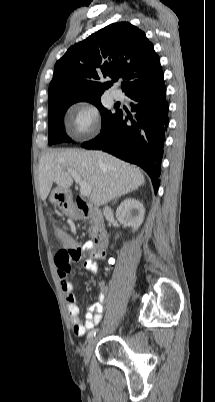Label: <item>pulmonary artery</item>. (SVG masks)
<instances>
[{"instance_id":"obj_1","label":"pulmonary artery","mask_w":215,"mask_h":402,"mask_svg":"<svg viewBox=\"0 0 215 402\" xmlns=\"http://www.w3.org/2000/svg\"><path fill=\"white\" fill-rule=\"evenodd\" d=\"M111 95L115 100L119 101L123 99V93L120 90H113Z\"/></svg>"}]
</instances>
